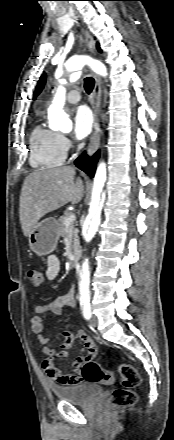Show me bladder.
<instances>
[{
  "label": "bladder",
  "mask_w": 174,
  "mask_h": 440,
  "mask_svg": "<svg viewBox=\"0 0 174 440\" xmlns=\"http://www.w3.org/2000/svg\"><path fill=\"white\" fill-rule=\"evenodd\" d=\"M51 388L59 401L75 404L90 403L102 392L100 386L92 383H78L69 386L52 385Z\"/></svg>",
  "instance_id": "31cf9c89"
}]
</instances>
